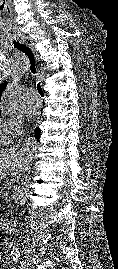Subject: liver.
Listing matches in <instances>:
<instances>
[{"mask_svg": "<svg viewBox=\"0 0 118 269\" xmlns=\"http://www.w3.org/2000/svg\"><path fill=\"white\" fill-rule=\"evenodd\" d=\"M26 153L23 147H13L0 151V180L11 171L16 170L19 174L24 172Z\"/></svg>", "mask_w": 118, "mask_h": 269, "instance_id": "1", "label": "liver"}]
</instances>
